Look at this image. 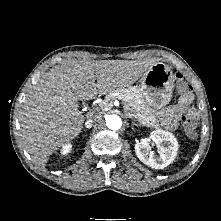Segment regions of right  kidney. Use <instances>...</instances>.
Returning <instances> with one entry per match:
<instances>
[{"label":"right kidney","mask_w":221,"mask_h":221,"mask_svg":"<svg viewBox=\"0 0 221 221\" xmlns=\"http://www.w3.org/2000/svg\"><path fill=\"white\" fill-rule=\"evenodd\" d=\"M72 146L70 144H65L61 149L62 155H67L71 151Z\"/></svg>","instance_id":"right-kidney-1"}]
</instances>
